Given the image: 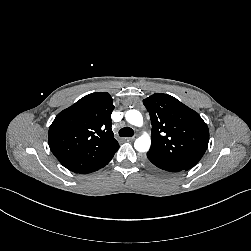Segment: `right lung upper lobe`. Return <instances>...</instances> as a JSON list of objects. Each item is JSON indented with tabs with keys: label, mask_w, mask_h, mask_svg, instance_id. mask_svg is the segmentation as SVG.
Segmentation results:
<instances>
[{
	"label": "right lung upper lobe",
	"mask_w": 251,
	"mask_h": 251,
	"mask_svg": "<svg viewBox=\"0 0 251 251\" xmlns=\"http://www.w3.org/2000/svg\"><path fill=\"white\" fill-rule=\"evenodd\" d=\"M113 99L107 92L84 96L60 112L49 128L52 153L72 172L104 167L119 148L111 129Z\"/></svg>",
	"instance_id": "cb5924a9"
}]
</instances>
